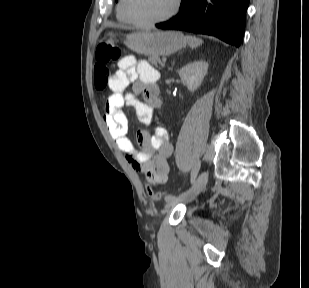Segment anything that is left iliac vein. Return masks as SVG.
<instances>
[{"label":"left iliac vein","mask_w":309,"mask_h":288,"mask_svg":"<svg viewBox=\"0 0 309 288\" xmlns=\"http://www.w3.org/2000/svg\"><path fill=\"white\" fill-rule=\"evenodd\" d=\"M208 181V173L206 171H203L199 177L197 178V180L194 182L193 186L189 189L190 192L186 197L183 198H174L170 201H167L166 207L170 208L172 206H175L176 204H178L179 202L182 201H187V200H191L194 199L195 197H197L202 190L205 188L206 184Z\"/></svg>","instance_id":"left-iliac-vein-1"}]
</instances>
